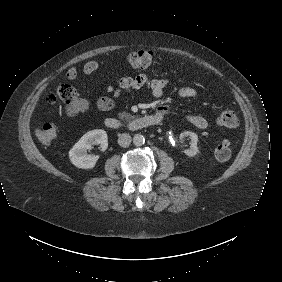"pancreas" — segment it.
I'll use <instances>...</instances> for the list:
<instances>
[{
    "instance_id": "pancreas-1",
    "label": "pancreas",
    "mask_w": 282,
    "mask_h": 282,
    "mask_svg": "<svg viewBox=\"0 0 282 282\" xmlns=\"http://www.w3.org/2000/svg\"><path fill=\"white\" fill-rule=\"evenodd\" d=\"M118 115H119V119L125 120L126 122H130L131 120L136 118V116L131 115L130 113L127 112H122L119 113Z\"/></svg>"
}]
</instances>
